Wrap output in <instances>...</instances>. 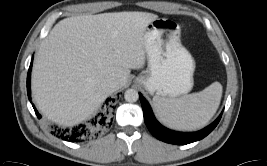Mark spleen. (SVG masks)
Listing matches in <instances>:
<instances>
[{"instance_id":"obj_1","label":"spleen","mask_w":267,"mask_h":166,"mask_svg":"<svg viewBox=\"0 0 267 166\" xmlns=\"http://www.w3.org/2000/svg\"><path fill=\"white\" fill-rule=\"evenodd\" d=\"M222 97V85L214 82L198 93L180 98L154 97L159 119L179 130H196L205 126L216 113Z\"/></svg>"}]
</instances>
